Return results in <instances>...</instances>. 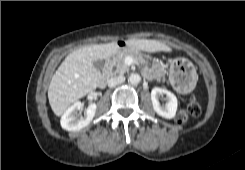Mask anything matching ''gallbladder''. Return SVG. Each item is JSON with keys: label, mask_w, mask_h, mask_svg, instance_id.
<instances>
[{"label": "gallbladder", "mask_w": 245, "mask_h": 170, "mask_svg": "<svg viewBox=\"0 0 245 170\" xmlns=\"http://www.w3.org/2000/svg\"><path fill=\"white\" fill-rule=\"evenodd\" d=\"M94 67L97 68L98 70H102L104 67V61L103 60H96L94 61Z\"/></svg>", "instance_id": "1"}]
</instances>
